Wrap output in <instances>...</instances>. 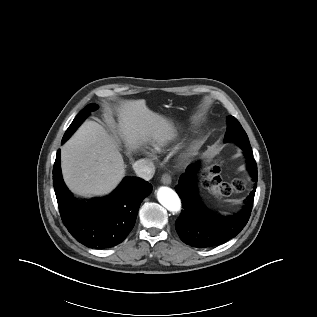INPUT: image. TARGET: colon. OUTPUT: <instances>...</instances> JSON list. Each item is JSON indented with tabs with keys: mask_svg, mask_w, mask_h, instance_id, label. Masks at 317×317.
Listing matches in <instances>:
<instances>
[{
	"mask_svg": "<svg viewBox=\"0 0 317 317\" xmlns=\"http://www.w3.org/2000/svg\"><path fill=\"white\" fill-rule=\"evenodd\" d=\"M219 165L212 164L205 171L204 186L213 194L226 197L232 193H239L245 187V182L242 179H237L231 183H225L219 176Z\"/></svg>",
	"mask_w": 317,
	"mask_h": 317,
	"instance_id": "colon-1",
	"label": "colon"
}]
</instances>
